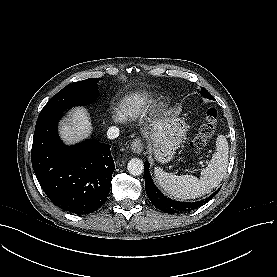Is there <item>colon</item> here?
Here are the masks:
<instances>
[{
    "label": "colon",
    "instance_id": "1",
    "mask_svg": "<svg viewBox=\"0 0 277 277\" xmlns=\"http://www.w3.org/2000/svg\"><path fill=\"white\" fill-rule=\"evenodd\" d=\"M217 117L218 111L216 108L211 107L207 110L205 121L201 124L198 135L191 142V147L194 150H203L208 140L215 134Z\"/></svg>",
    "mask_w": 277,
    "mask_h": 277
}]
</instances>
